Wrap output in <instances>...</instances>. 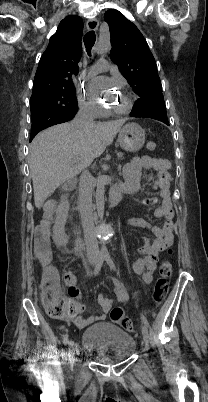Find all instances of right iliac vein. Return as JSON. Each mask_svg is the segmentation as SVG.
Returning <instances> with one entry per match:
<instances>
[{
	"label": "right iliac vein",
	"mask_w": 208,
	"mask_h": 402,
	"mask_svg": "<svg viewBox=\"0 0 208 402\" xmlns=\"http://www.w3.org/2000/svg\"><path fill=\"white\" fill-rule=\"evenodd\" d=\"M97 259L95 257H92L89 259L90 264L94 265L96 263ZM75 345L73 341L69 342V351H68V356H69V361L71 363V365L74 364L75 362Z\"/></svg>",
	"instance_id": "63e3f726"
}]
</instances>
